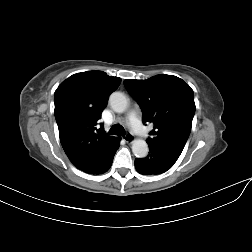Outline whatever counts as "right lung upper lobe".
<instances>
[{
	"instance_id": "1",
	"label": "right lung upper lobe",
	"mask_w": 252,
	"mask_h": 252,
	"mask_svg": "<svg viewBox=\"0 0 252 252\" xmlns=\"http://www.w3.org/2000/svg\"><path fill=\"white\" fill-rule=\"evenodd\" d=\"M120 81L102 71H87L70 76L55 91L54 114L62 147L85 173L92 174L104 165L110 145L118 138L106 135L96 125Z\"/></svg>"
}]
</instances>
